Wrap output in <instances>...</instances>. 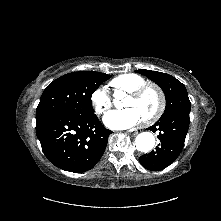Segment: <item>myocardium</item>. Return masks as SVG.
I'll return each instance as SVG.
<instances>
[{"label":"myocardium","instance_id":"obj_1","mask_svg":"<svg viewBox=\"0 0 221 221\" xmlns=\"http://www.w3.org/2000/svg\"><path fill=\"white\" fill-rule=\"evenodd\" d=\"M148 90H154L156 92L159 99V104L156 111L151 116L142 120L144 125H150L159 120L166 108V97L163 90L158 85L153 83H146L141 85L140 87L129 92L128 96L132 98H139Z\"/></svg>","mask_w":221,"mask_h":221}]
</instances>
